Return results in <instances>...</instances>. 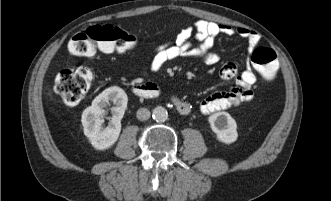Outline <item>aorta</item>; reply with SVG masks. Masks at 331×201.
Masks as SVG:
<instances>
[{
	"instance_id": "762f6f07",
	"label": "aorta",
	"mask_w": 331,
	"mask_h": 201,
	"mask_svg": "<svg viewBox=\"0 0 331 201\" xmlns=\"http://www.w3.org/2000/svg\"><path fill=\"white\" fill-rule=\"evenodd\" d=\"M152 117L157 122H164L168 118V112L164 107L158 106L153 109Z\"/></svg>"
}]
</instances>
